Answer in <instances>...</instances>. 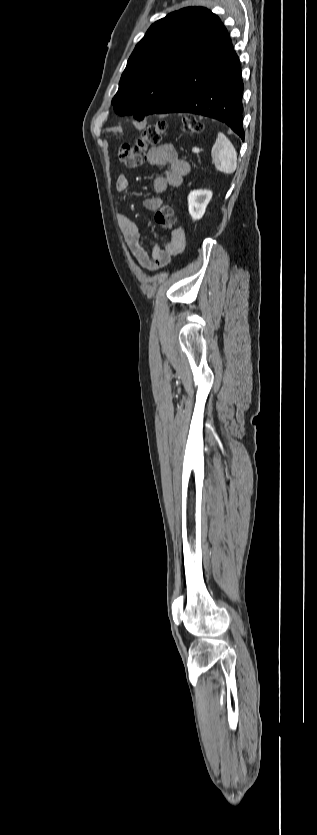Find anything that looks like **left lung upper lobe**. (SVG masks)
I'll use <instances>...</instances> for the list:
<instances>
[{
	"label": "left lung upper lobe",
	"mask_w": 317,
	"mask_h": 835,
	"mask_svg": "<svg viewBox=\"0 0 317 835\" xmlns=\"http://www.w3.org/2000/svg\"><path fill=\"white\" fill-rule=\"evenodd\" d=\"M203 7H187L156 21L136 45L112 100L119 114L142 120L175 94L189 64L220 25Z\"/></svg>",
	"instance_id": "obj_1"
}]
</instances>
